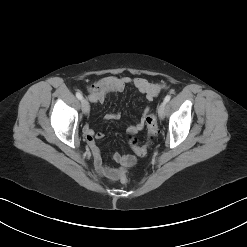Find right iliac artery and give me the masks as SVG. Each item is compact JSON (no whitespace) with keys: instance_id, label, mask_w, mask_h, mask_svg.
Returning <instances> with one entry per match:
<instances>
[{"instance_id":"1","label":"right iliac artery","mask_w":247,"mask_h":247,"mask_svg":"<svg viewBox=\"0 0 247 247\" xmlns=\"http://www.w3.org/2000/svg\"><path fill=\"white\" fill-rule=\"evenodd\" d=\"M76 97L79 99V100H82L83 99V96L80 92H77L76 93Z\"/></svg>"}]
</instances>
